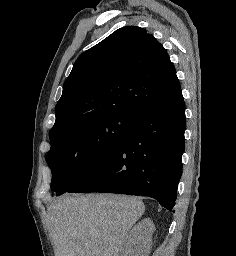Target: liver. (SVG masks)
I'll return each instance as SVG.
<instances>
[{"label": "liver", "mask_w": 236, "mask_h": 256, "mask_svg": "<svg viewBox=\"0 0 236 256\" xmlns=\"http://www.w3.org/2000/svg\"><path fill=\"white\" fill-rule=\"evenodd\" d=\"M145 206L116 194H64L48 206L55 256H123L127 236Z\"/></svg>", "instance_id": "1"}]
</instances>
